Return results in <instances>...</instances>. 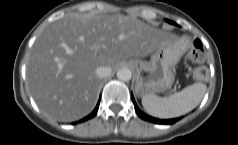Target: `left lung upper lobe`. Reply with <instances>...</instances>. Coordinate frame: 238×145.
Here are the masks:
<instances>
[{
	"instance_id": "5c2ea615",
	"label": "left lung upper lobe",
	"mask_w": 238,
	"mask_h": 145,
	"mask_svg": "<svg viewBox=\"0 0 238 145\" xmlns=\"http://www.w3.org/2000/svg\"><path fill=\"white\" fill-rule=\"evenodd\" d=\"M167 22H169V23H171V24H176L175 22H173V21H170V20H166Z\"/></svg>"
}]
</instances>
